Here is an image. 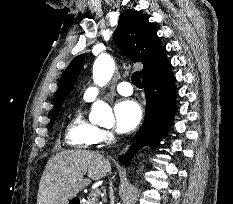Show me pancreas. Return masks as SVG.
I'll return each instance as SVG.
<instances>
[{"mask_svg":"<svg viewBox=\"0 0 233 204\" xmlns=\"http://www.w3.org/2000/svg\"><path fill=\"white\" fill-rule=\"evenodd\" d=\"M82 204H99V202L95 197H88Z\"/></svg>","mask_w":233,"mask_h":204,"instance_id":"pancreas-1","label":"pancreas"}]
</instances>
